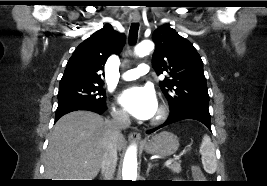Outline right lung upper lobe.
Here are the masks:
<instances>
[{
	"label": "right lung upper lobe",
	"instance_id": "obj_1",
	"mask_svg": "<svg viewBox=\"0 0 267 186\" xmlns=\"http://www.w3.org/2000/svg\"><path fill=\"white\" fill-rule=\"evenodd\" d=\"M125 44V35L115 31L110 24L96 31L82 42L68 60L61 85L103 84L100 73L111 54H119Z\"/></svg>",
	"mask_w": 267,
	"mask_h": 186
}]
</instances>
